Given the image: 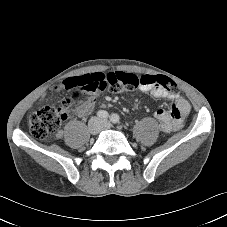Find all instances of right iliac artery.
Segmentation results:
<instances>
[{"instance_id": "82829eb1", "label": "right iliac artery", "mask_w": 227, "mask_h": 227, "mask_svg": "<svg viewBox=\"0 0 227 227\" xmlns=\"http://www.w3.org/2000/svg\"><path fill=\"white\" fill-rule=\"evenodd\" d=\"M97 116L101 119H107L109 117V114L105 110H100L97 112Z\"/></svg>"}]
</instances>
